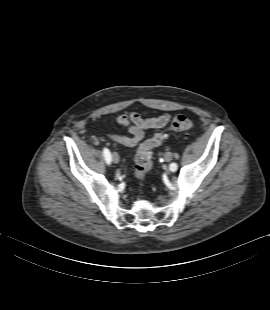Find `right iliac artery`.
I'll return each instance as SVG.
<instances>
[{
  "instance_id": "right-iliac-artery-1",
  "label": "right iliac artery",
  "mask_w": 270,
  "mask_h": 310,
  "mask_svg": "<svg viewBox=\"0 0 270 310\" xmlns=\"http://www.w3.org/2000/svg\"><path fill=\"white\" fill-rule=\"evenodd\" d=\"M103 155H104V158H105L107 164H110L112 156H111L109 149L104 148L103 149Z\"/></svg>"
}]
</instances>
